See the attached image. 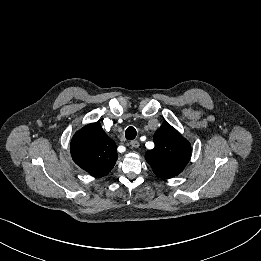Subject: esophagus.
Segmentation results:
<instances>
[{"label":"esophagus","instance_id":"1","mask_svg":"<svg viewBox=\"0 0 261 261\" xmlns=\"http://www.w3.org/2000/svg\"><path fill=\"white\" fill-rule=\"evenodd\" d=\"M130 145H131L132 148H138L140 146V144L137 140L131 141Z\"/></svg>","mask_w":261,"mask_h":261}]
</instances>
